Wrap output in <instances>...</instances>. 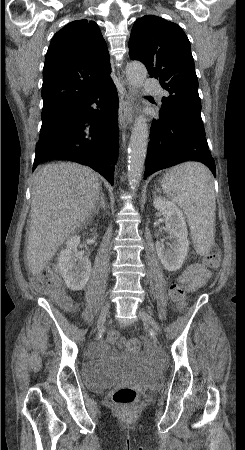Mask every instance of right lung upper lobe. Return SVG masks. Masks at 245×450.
Returning a JSON list of instances; mask_svg holds the SVG:
<instances>
[{"mask_svg":"<svg viewBox=\"0 0 245 450\" xmlns=\"http://www.w3.org/2000/svg\"><path fill=\"white\" fill-rule=\"evenodd\" d=\"M107 45L98 25L76 20L51 40L43 68L42 112H55L110 78Z\"/></svg>","mask_w":245,"mask_h":450,"instance_id":"right-lung-upper-lobe-1","label":"right lung upper lobe"}]
</instances>
